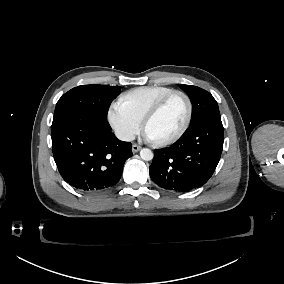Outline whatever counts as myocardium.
Wrapping results in <instances>:
<instances>
[{"mask_svg": "<svg viewBox=\"0 0 284 284\" xmlns=\"http://www.w3.org/2000/svg\"><path fill=\"white\" fill-rule=\"evenodd\" d=\"M176 95H181L185 98L186 102H187V115L185 118L184 123L182 124L181 128L171 137L165 139V140H161V141H156V140H151L152 143H154L157 146H165V145H169L174 143L175 141H177L188 129L191 120H192V116H193V103L191 98L189 97V95L187 93H185L184 91H180V90H175L169 94H167L166 96H164L162 99H160L145 115V117L143 118V120L141 121L142 123V131L145 132V128L147 126V124L154 119L162 110L163 108L166 106V104Z\"/></svg>", "mask_w": 284, "mask_h": 284, "instance_id": "obj_1", "label": "myocardium"}]
</instances>
